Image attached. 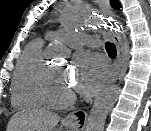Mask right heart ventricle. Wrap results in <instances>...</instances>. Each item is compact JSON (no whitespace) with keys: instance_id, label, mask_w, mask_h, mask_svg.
Instances as JSON below:
<instances>
[{"instance_id":"1","label":"right heart ventricle","mask_w":151,"mask_h":131,"mask_svg":"<svg viewBox=\"0 0 151 131\" xmlns=\"http://www.w3.org/2000/svg\"><path fill=\"white\" fill-rule=\"evenodd\" d=\"M43 41H31L19 59L14 73L11 90V102L17 109L33 108L42 105L37 86L47 67L43 57Z\"/></svg>"}]
</instances>
